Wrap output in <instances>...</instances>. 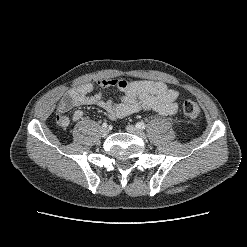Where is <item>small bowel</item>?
<instances>
[{
    "label": "small bowel",
    "instance_id": "c3829d8e",
    "mask_svg": "<svg viewBox=\"0 0 247 247\" xmlns=\"http://www.w3.org/2000/svg\"><path fill=\"white\" fill-rule=\"evenodd\" d=\"M116 87L123 92L120 100L114 102L104 99L102 90ZM96 88L98 92L91 94ZM179 92L169 88L161 81L104 79L96 85L87 83L70 88L60 99L57 106V122L67 127L71 119L79 121L83 117L81 110L74 111L72 118L67 112L74 107L96 105L112 118H124L140 111H153L161 115H173L178 110Z\"/></svg>",
    "mask_w": 247,
    "mask_h": 247
}]
</instances>
